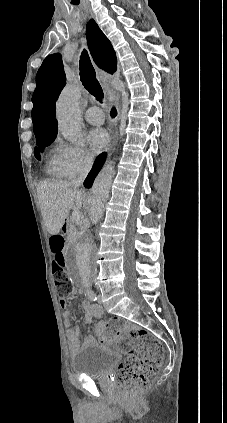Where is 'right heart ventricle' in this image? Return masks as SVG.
<instances>
[{"label": "right heart ventricle", "instance_id": "1", "mask_svg": "<svg viewBox=\"0 0 227 423\" xmlns=\"http://www.w3.org/2000/svg\"><path fill=\"white\" fill-rule=\"evenodd\" d=\"M49 170L53 174L60 175V172H59V169H58V165H57V158H56V156L53 157L50 160Z\"/></svg>", "mask_w": 227, "mask_h": 423}]
</instances>
